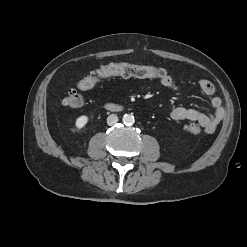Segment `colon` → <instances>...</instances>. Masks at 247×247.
Returning a JSON list of instances; mask_svg holds the SVG:
<instances>
[{
  "label": "colon",
  "mask_w": 247,
  "mask_h": 247,
  "mask_svg": "<svg viewBox=\"0 0 247 247\" xmlns=\"http://www.w3.org/2000/svg\"><path fill=\"white\" fill-rule=\"evenodd\" d=\"M166 76H168L167 72L162 68L129 63H111L101 66L96 71L79 80L77 87L79 90L83 91L90 90L102 81L113 77L162 79ZM62 103L69 108H78L83 104V98L77 90L71 89L63 98ZM187 130L191 134H198L200 133L201 128L198 124L192 123L188 125Z\"/></svg>",
  "instance_id": "obj_1"
}]
</instances>
